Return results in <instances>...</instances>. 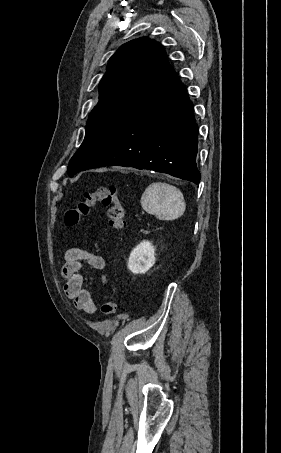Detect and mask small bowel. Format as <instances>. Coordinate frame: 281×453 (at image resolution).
Segmentation results:
<instances>
[{
  "label": "small bowel",
  "mask_w": 281,
  "mask_h": 453,
  "mask_svg": "<svg viewBox=\"0 0 281 453\" xmlns=\"http://www.w3.org/2000/svg\"><path fill=\"white\" fill-rule=\"evenodd\" d=\"M83 265H89L95 269H103L105 261L100 255L89 251L77 249L67 251L62 268V274L65 279L63 288L66 296L73 301L78 310L94 315L97 313V305L82 286L80 270ZM107 281L108 279L104 274H99L96 285L106 286Z\"/></svg>",
  "instance_id": "1"
}]
</instances>
